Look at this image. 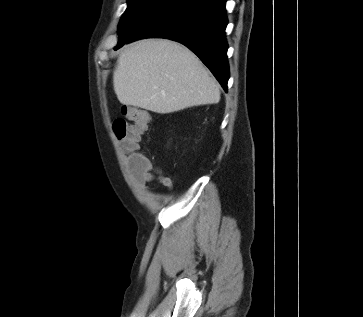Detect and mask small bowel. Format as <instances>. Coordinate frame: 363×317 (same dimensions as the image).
Wrapping results in <instances>:
<instances>
[{
  "instance_id": "1",
  "label": "small bowel",
  "mask_w": 363,
  "mask_h": 317,
  "mask_svg": "<svg viewBox=\"0 0 363 317\" xmlns=\"http://www.w3.org/2000/svg\"><path fill=\"white\" fill-rule=\"evenodd\" d=\"M146 157V156H145ZM131 172L137 177L141 187L146 188L148 183L159 181L167 188L172 187L171 179L160 172L155 165L146 157L143 165L133 167L130 165Z\"/></svg>"
}]
</instances>
